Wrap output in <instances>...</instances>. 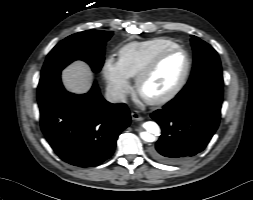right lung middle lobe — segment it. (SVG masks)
<instances>
[{
  "label": "right lung middle lobe",
  "instance_id": "dd1d6c3e",
  "mask_svg": "<svg viewBox=\"0 0 253 200\" xmlns=\"http://www.w3.org/2000/svg\"><path fill=\"white\" fill-rule=\"evenodd\" d=\"M112 34L111 31L87 30L65 38L48 54L41 76L60 72L74 60H83L94 72H99L104 63L105 44Z\"/></svg>",
  "mask_w": 253,
  "mask_h": 200
}]
</instances>
